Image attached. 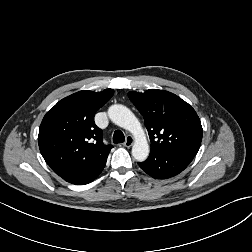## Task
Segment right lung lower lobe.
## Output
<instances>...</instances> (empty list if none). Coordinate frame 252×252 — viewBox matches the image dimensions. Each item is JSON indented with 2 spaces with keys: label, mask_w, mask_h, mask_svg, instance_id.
Instances as JSON below:
<instances>
[{
  "label": "right lung lower lobe",
  "mask_w": 252,
  "mask_h": 252,
  "mask_svg": "<svg viewBox=\"0 0 252 252\" xmlns=\"http://www.w3.org/2000/svg\"><path fill=\"white\" fill-rule=\"evenodd\" d=\"M106 162L89 165L61 176L65 181L76 185L92 182L102 172Z\"/></svg>",
  "instance_id": "obj_1"
}]
</instances>
